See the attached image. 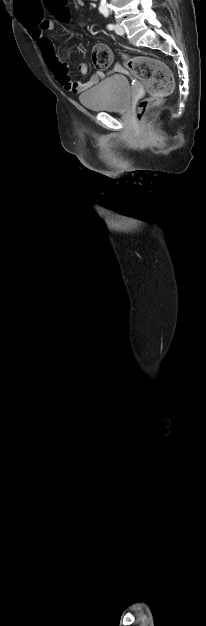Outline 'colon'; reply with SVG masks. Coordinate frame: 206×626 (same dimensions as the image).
<instances>
[{
	"instance_id": "1",
	"label": "colon",
	"mask_w": 206,
	"mask_h": 626,
	"mask_svg": "<svg viewBox=\"0 0 206 626\" xmlns=\"http://www.w3.org/2000/svg\"><path fill=\"white\" fill-rule=\"evenodd\" d=\"M67 2V0H44L46 7L61 20L69 17ZM124 60L133 75L144 83L149 93V97L143 100L138 108V118L145 123L148 110L162 103L171 92L172 76L167 66L157 59L146 56H124ZM111 61L112 54L106 45L97 44L93 47L92 62L96 68L106 69Z\"/></svg>"
}]
</instances>
